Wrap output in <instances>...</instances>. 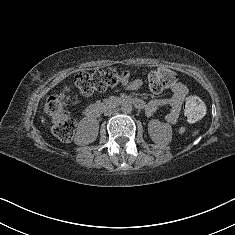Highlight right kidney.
Returning a JSON list of instances; mask_svg holds the SVG:
<instances>
[{"instance_id":"obj_1","label":"right kidney","mask_w":235,"mask_h":235,"mask_svg":"<svg viewBox=\"0 0 235 235\" xmlns=\"http://www.w3.org/2000/svg\"><path fill=\"white\" fill-rule=\"evenodd\" d=\"M98 129L99 124L97 120L93 119L82 121L75 136L76 143L84 145L92 143L97 138Z\"/></svg>"}]
</instances>
